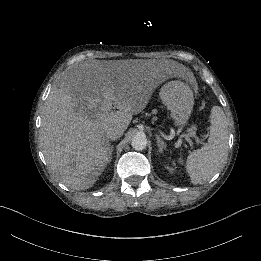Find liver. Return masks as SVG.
Returning <instances> with one entry per match:
<instances>
[{
    "mask_svg": "<svg viewBox=\"0 0 261 261\" xmlns=\"http://www.w3.org/2000/svg\"><path fill=\"white\" fill-rule=\"evenodd\" d=\"M160 70L150 64L82 63L63 75L46 99L39 131L55 178L75 190L93 186L108 163L107 132L126 130L133 114L146 107L164 81Z\"/></svg>",
    "mask_w": 261,
    "mask_h": 261,
    "instance_id": "liver-1",
    "label": "liver"
}]
</instances>
